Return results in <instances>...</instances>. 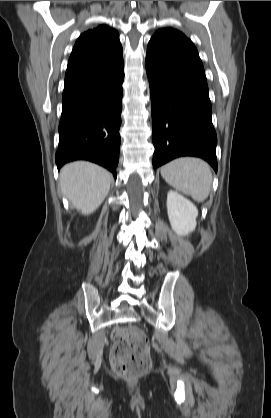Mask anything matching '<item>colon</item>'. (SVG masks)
Segmentation results:
<instances>
[{
	"label": "colon",
	"mask_w": 271,
	"mask_h": 418,
	"mask_svg": "<svg viewBox=\"0 0 271 418\" xmlns=\"http://www.w3.org/2000/svg\"><path fill=\"white\" fill-rule=\"evenodd\" d=\"M110 363L115 374L125 378L142 375L151 367L150 349L146 335L137 328L117 329Z\"/></svg>",
	"instance_id": "obj_1"
}]
</instances>
